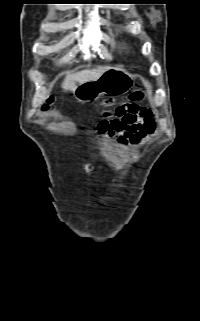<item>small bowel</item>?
Instances as JSON below:
<instances>
[{
	"label": "small bowel",
	"mask_w": 200,
	"mask_h": 321,
	"mask_svg": "<svg viewBox=\"0 0 200 321\" xmlns=\"http://www.w3.org/2000/svg\"><path fill=\"white\" fill-rule=\"evenodd\" d=\"M155 121L152 111L148 109L130 108L124 115L113 121H102L98 132L105 137H114L116 141L126 146L129 142L138 144L144 137L153 134Z\"/></svg>",
	"instance_id": "obj_1"
}]
</instances>
